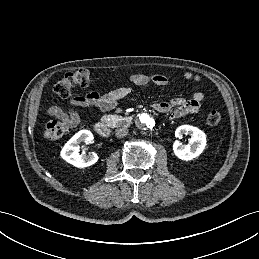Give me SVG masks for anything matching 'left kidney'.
<instances>
[{"mask_svg": "<svg viewBox=\"0 0 259 259\" xmlns=\"http://www.w3.org/2000/svg\"><path fill=\"white\" fill-rule=\"evenodd\" d=\"M183 134L191 135L190 144L183 145L179 141L173 144L174 154L181 160L189 161L199 156L206 147V135L197 127L182 125L175 131L177 138H182Z\"/></svg>", "mask_w": 259, "mask_h": 259, "instance_id": "1", "label": "left kidney"}]
</instances>
